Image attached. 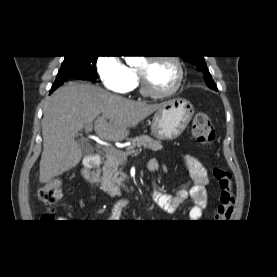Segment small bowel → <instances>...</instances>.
Wrapping results in <instances>:
<instances>
[{
    "label": "small bowel",
    "mask_w": 277,
    "mask_h": 277,
    "mask_svg": "<svg viewBox=\"0 0 277 277\" xmlns=\"http://www.w3.org/2000/svg\"><path fill=\"white\" fill-rule=\"evenodd\" d=\"M183 164L189 172L193 184L182 185L175 194H167L158 190L153 191V199L166 211H175L185 200L191 199L193 206L189 210L191 220H199L203 211L208 205L207 187L209 178L207 170L202 162L193 157L186 156L183 158ZM159 162L152 158L148 161V169L151 172L157 171ZM126 206V201H119L113 207V217L117 218L121 210Z\"/></svg>",
    "instance_id": "obj_1"
}]
</instances>
